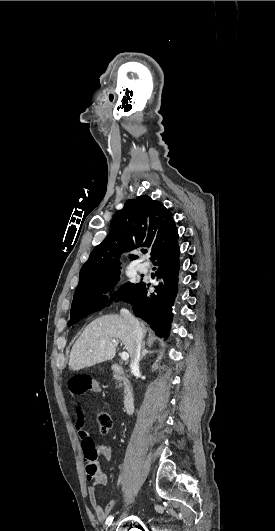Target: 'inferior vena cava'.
<instances>
[{
    "instance_id": "inferior-vena-cava-1",
    "label": "inferior vena cava",
    "mask_w": 275,
    "mask_h": 531,
    "mask_svg": "<svg viewBox=\"0 0 275 531\" xmlns=\"http://www.w3.org/2000/svg\"><path fill=\"white\" fill-rule=\"evenodd\" d=\"M122 317H126L127 321H129L131 327H132V351H131V361H130V369L131 373H136V371H139V361H140V355H141V349H142V329L140 327L139 321L137 319H134L132 315H130L129 311H126V309H122L121 311Z\"/></svg>"
}]
</instances>
